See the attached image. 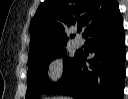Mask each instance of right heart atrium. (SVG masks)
I'll return each mask as SVG.
<instances>
[{"label": "right heart atrium", "mask_w": 128, "mask_h": 99, "mask_svg": "<svg viewBox=\"0 0 128 99\" xmlns=\"http://www.w3.org/2000/svg\"><path fill=\"white\" fill-rule=\"evenodd\" d=\"M48 74L54 84L60 83L65 76V63L62 57H54L48 63Z\"/></svg>", "instance_id": "right-heart-atrium-1"}]
</instances>
